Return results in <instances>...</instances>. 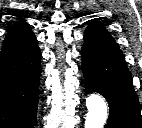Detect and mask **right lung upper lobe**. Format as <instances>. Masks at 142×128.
<instances>
[{"label":"right lung upper lobe","mask_w":142,"mask_h":128,"mask_svg":"<svg viewBox=\"0 0 142 128\" xmlns=\"http://www.w3.org/2000/svg\"><path fill=\"white\" fill-rule=\"evenodd\" d=\"M24 17L22 14L18 15V20L14 21L9 29L0 54V61L23 52L37 41L29 24L24 21Z\"/></svg>","instance_id":"cb5924a9"}]
</instances>
